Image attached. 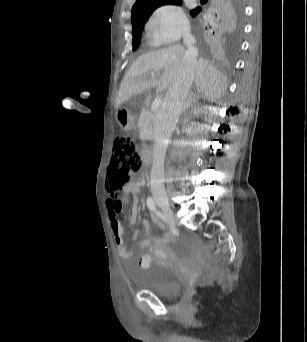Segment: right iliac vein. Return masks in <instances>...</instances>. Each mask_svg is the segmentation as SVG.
Instances as JSON below:
<instances>
[{
  "instance_id": "63e3f726",
  "label": "right iliac vein",
  "mask_w": 307,
  "mask_h": 342,
  "mask_svg": "<svg viewBox=\"0 0 307 342\" xmlns=\"http://www.w3.org/2000/svg\"><path fill=\"white\" fill-rule=\"evenodd\" d=\"M155 200H156L157 205L160 206V208L162 209V212L165 215V217L168 220V222L173 227H175L176 223H175L174 214H173V211L171 209L170 203L167 200V198L163 197V196H159V197H156Z\"/></svg>"
}]
</instances>
